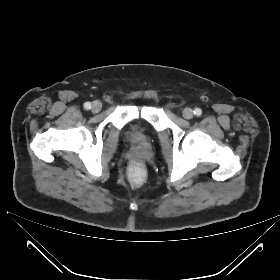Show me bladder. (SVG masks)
<instances>
[{
    "mask_svg": "<svg viewBox=\"0 0 280 280\" xmlns=\"http://www.w3.org/2000/svg\"><path fill=\"white\" fill-rule=\"evenodd\" d=\"M124 136L130 144L136 147H143L151 142L154 135L152 128L147 123L132 120L127 123Z\"/></svg>",
    "mask_w": 280,
    "mask_h": 280,
    "instance_id": "obj_1",
    "label": "bladder"
}]
</instances>
